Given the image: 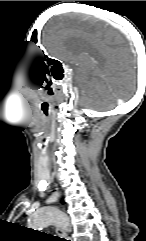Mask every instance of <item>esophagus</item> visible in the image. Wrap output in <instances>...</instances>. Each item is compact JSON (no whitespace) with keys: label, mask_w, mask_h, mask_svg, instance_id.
Returning <instances> with one entry per match:
<instances>
[{"label":"esophagus","mask_w":146,"mask_h":241,"mask_svg":"<svg viewBox=\"0 0 146 241\" xmlns=\"http://www.w3.org/2000/svg\"><path fill=\"white\" fill-rule=\"evenodd\" d=\"M56 232L60 235L64 241H71L70 237L66 234L63 229L57 228Z\"/></svg>","instance_id":"34e87169"}]
</instances>
